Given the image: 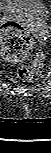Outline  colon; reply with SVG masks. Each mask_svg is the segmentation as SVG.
Segmentation results:
<instances>
[{
  "instance_id": "obj_1",
  "label": "colon",
  "mask_w": 51,
  "mask_h": 153,
  "mask_svg": "<svg viewBox=\"0 0 51 153\" xmlns=\"http://www.w3.org/2000/svg\"><path fill=\"white\" fill-rule=\"evenodd\" d=\"M33 49V40L26 30L16 22L9 21L2 25L1 29V54L15 63H21L28 58ZM44 54L37 51L33 54V64L30 67H20L16 71V77L20 81H32L39 78L43 65Z\"/></svg>"
}]
</instances>
